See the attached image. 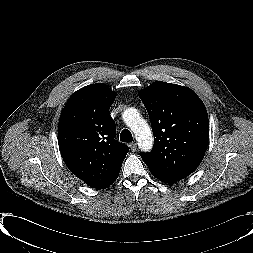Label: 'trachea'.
Masks as SVG:
<instances>
[{
    "label": "trachea",
    "instance_id": "obj_1",
    "mask_svg": "<svg viewBox=\"0 0 253 253\" xmlns=\"http://www.w3.org/2000/svg\"><path fill=\"white\" fill-rule=\"evenodd\" d=\"M120 140L125 143H130L133 140L132 134L129 130L124 129L120 134Z\"/></svg>",
    "mask_w": 253,
    "mask_h": 253
}]
</instances>
